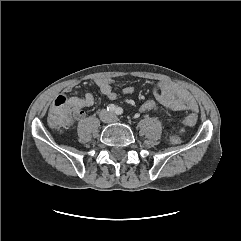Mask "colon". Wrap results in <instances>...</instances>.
I'll use <instances>...</instances> for the list:
<instances>
[{"label":"colon","instance_id":"1","mask_svg":"<svg viewBox=\"0 0 241 241\" xmlns=\"http://www.w3.org/2000/svg\"><path fill=\"white\" fill-rule=\"evenodd\" d=\"M76 110L77 108L69 102L66 96L59 95L49 110V125L56 129H62L69 126L72 123V117L75 115ZM140 110L147 114H157L158 106L154 100H146L141 104ZM196 122L197 116L195 114H189L183 120V124L186 127L194 126ZM181 141L182 132L170 137L171 144L176 145L181 143Z\"/></svg>","mask_w":241,"mask_h":241}]
</instances>
